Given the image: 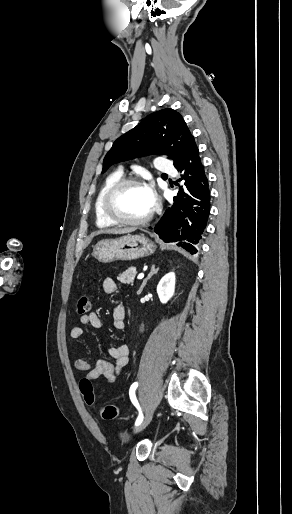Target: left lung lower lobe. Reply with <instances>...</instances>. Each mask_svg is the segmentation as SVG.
<instances>
[{"mask_svg": "<svg viewBox=\"0 0 292 514\" xmlns=\"http://www.w3.org/2000/svg\"><path fill=\"white\" fill-rule=\"evenodd\" d=\"M176 169L184 185L153 230L165 242H179L178 246L196 254L207 226L211 195L195 140Z\"/></svg>", "mask_w": 292, "mask_h": 514, "instance_id": "left-lung-lower-lobe-1", "label": "left lung lower lobe"}]
</instances>
